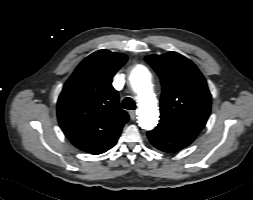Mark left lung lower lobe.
Returning a JSON list of instances; mask_svg holds the SVG:
<instances>
[{"label":"left lung lower lobe","mask_w":253,"mask_h":200,"mask_svg":"<svg viewBox=\"0 0 253 200\" xmlns=\"http://www.w3.org/2000/svg\"><path fill=\"white\" fill-rule=\"evenodd\" d=\"M198 132L184 129L168 123H160L148 132V138L157 149L174 153L190 145Z\"/></svg>","instance_id":"0a47b994"}]
</instances>
